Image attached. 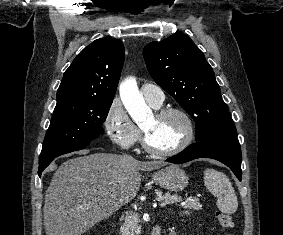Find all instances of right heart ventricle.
Returning <instances> with one entry per match:
<instances>
[{"mask_svg":"<svg viewBox=\"0 0 283 235\" xmlns=\"http://www.w3.org/2000/svg\"><path fill=\"white\" fill-rule=\"evenodd\" d=\"M150 104V103H149ZM152 107H154V108H158L159 106H154V105H152V104H150Z\"/></svg>","mask_w":283,"mask_h":235,"instance_id":"obj_1","label":"right heart ventricle"}]
</instances>
